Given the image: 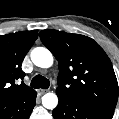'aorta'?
Instances as JSON below:
<instances>
[{
  "instance_id": "762f6f07",
  "label": "aorta",
  "mask_w": 119,
  "mask_h": 119,
  "mask_svg": "<svg viewBox=\"0 0 119 119\" xmlns=\"http://www.w3.org/2000/svg\"><path fill=\"white\" fill-rule=\"evenodd\" d=\"M32 62L41 68H49L53 64L52 53L44 47L34 48L31 52ZM42 104L47 109H54L58 104V97L54 93H47L42 97Z\"/></svg>"
}]
</instances>
